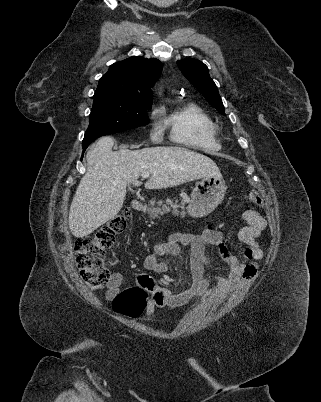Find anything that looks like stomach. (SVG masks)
Listing matches in <instances>:
<instances>
[{"label":"stomach","mask_w":321,"mask_h":402,"mask_svg":"<svg viewBox=\"0 0 321 402\" xmlns=\"http://www.w3.org/2000/svg\"><path fill=\"white\" fill-rule=\"evenodd\" d=\"M226 184L222 177L208 176L197 183L191 193L187 212L191 217L201 218L210 214L223 200Z\"/></svg>","instance_id":"stomach-1"}]
</instances>
